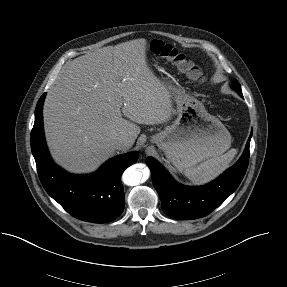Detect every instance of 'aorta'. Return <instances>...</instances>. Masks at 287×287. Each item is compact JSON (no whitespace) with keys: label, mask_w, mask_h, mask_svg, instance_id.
I'll return each mask as SVG.
<instances>
[{"label":"aorta","mask_w":287,"mask_h":287,"mask_svg":"<svg viewBox=\"0 0 287 287\" xmlns=\"http://www.w3.org/2000/svg\"><path fill=\"white\" fill-rule=\"evenodd\" d=\"M142 176V171L133 165L124 171L122 181L128 186H136L141 182Z\"/></svg>","instance_id":"aorta-1"}]
</instances>
